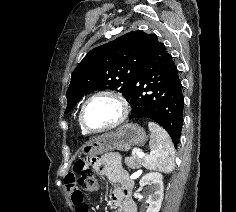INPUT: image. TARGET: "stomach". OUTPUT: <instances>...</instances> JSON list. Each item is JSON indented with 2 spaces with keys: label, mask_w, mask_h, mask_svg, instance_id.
I'll return each mask as SVG.
<instances>
[{
  "label": "stomach",
  "mask_w": 236,
  "mask_h": 212,
  "mask_svg": "<svg viewBox=\"0 0 236 212\" xmlns=\"http://www.w3.org/2000/svg\"><path fill=\"white\" fill-rule=\"evenodd\" d=\"M146 140L147 136L142 127L128 123L116 131L93 139L82 148V152L86 156H96L114 150L128 151L134 146L144 145Z\"/></svg>",
  "instance_id": "obj_1"
}]
</instances>
